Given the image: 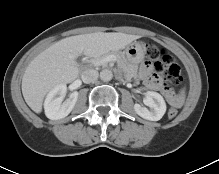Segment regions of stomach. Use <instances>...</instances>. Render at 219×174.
Returning a JSON list of instances; mask_svg holds the SVG:
<instances>
[{
  "mask_svg": "<svg viewBox=\"0 0 219 174\" xmlns=\"http://www.w3.org/2000/svg\"><path fill=\"white\" fill-rule=\"evenodd\" d=\"M124 53L128 62L137 64L144 59L145 49L139 42H133L126 46Z\"/></svg>",
  "mask_w": 219,
  "mask_h": 174,
  "instance_id": "obj_1",
  "label": "stomach"
}]
</instances>
